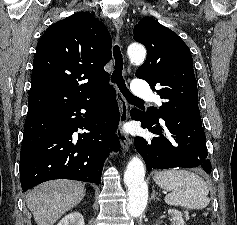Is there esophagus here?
Here are the masks:
<instances>
[{
	"instance_id": "obj_1",
	"label": "esophagus",
	"mask_w": 237,
	"mask_h": 225,
	"mask_svg": "<svg viewBox=\"0 0 237 225\" xmlns=\"http://www.w3.org/2000/svg\"><path fill=\"white\" fill-rule=\"evenodd\" d=\"M113 24H114L117 31H121V29L123 28L124 22H123L122 18H114ZM124 75H126L125 71H124ZM116 92H117V103H118L119 112H120L119 126L116 131V134L119 138V141H120L123 149L125 151H128L131 142H130L128 135L124 131V125L128 119V105H127L125 98L120 93V91L117 87H116Z\"/></svg>"
}]
</instances>
